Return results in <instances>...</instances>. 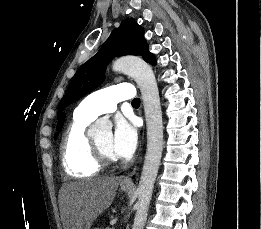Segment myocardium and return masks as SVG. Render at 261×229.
Wrapping results in <instances>:
<instances>
[{
	"mask_svg": "<svg viewBox=\"0 0 261 229\" xmlns=\"http://www.w3.org/2000/svg\"><path fill=\"white\" fill-rule=\"evenodd\" d=\"M94 147H95L97 156L102 163L111 164L116 161L115 158L113 156H110L109 154H107L97 142H94Z\"/></svg>",
	"mask_w": 261,
	"mask_h": 229,
	"instance_id": "myocardium-1",
	"label": "myocardium"
}]
</instances>
